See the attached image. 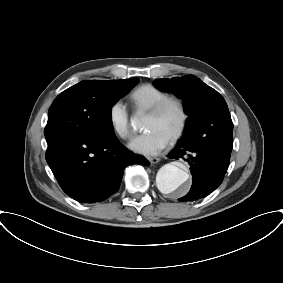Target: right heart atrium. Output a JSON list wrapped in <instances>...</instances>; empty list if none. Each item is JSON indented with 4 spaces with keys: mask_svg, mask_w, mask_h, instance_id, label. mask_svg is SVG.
Segmentation results:
<instances>
[{
    "mask_svg": "<svg viewBox=\"0 0 283 283\" xmlns=\"http://www.w3.org/2000/svg\"><path fill=\"white\" fill-rule=\"evenodd\" d=\"M109 123L114 133L122 139L132 135L130 115L126 105L117 100L109 108Z\"/></svg>",
    "mask_w": 283,
    "mask_h": 283,
    "instance_id": "right-heart-atrium-1",
    "label": "right heart atrium"
}]
</instances>
